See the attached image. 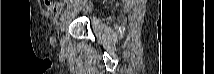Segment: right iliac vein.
I'll list each match as a JSON object with an SVG mask.
<instances>
[{"mask_svg":"<svg viewBox=\"0 0 214 74\" xmlns=\"http://www.w3.org/2000/svg\"><path fill=\"white\" fill-rule=\"evenodd\" d=\"M67 19H68V15H65L64 18L61 19V22L59 24V31H60L61 34L65 30V27L67 25Z\"/></svg>","mask_w":214,"mask_h":74,"instance_id":"right-iliac-vein-1","label":"right iliac vein"}]
</instances>
